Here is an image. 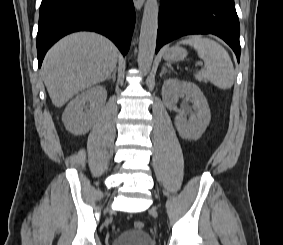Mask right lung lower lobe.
<instances>
[{
    "instance_id": "right-lung-lower-lobe-1",
    "label": "right lung lower lobe",
    "mask_w": 283,
    "mask_h": 245,
    "mask_svg": "<svg viewBox=\"0 0 283 245\" xmlns=\"http://www.w3.org/2000/svg\"><path fill=\"white\" fill-rule=\"evenodd\" d=\"M135 22L132 0H42L37 33L38 65L63 36L81 30L111 39L125 55Z\"/></svg>"
}]
</instances>
